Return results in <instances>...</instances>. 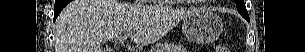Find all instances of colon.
I'll return each instance as SVG.
<instances>
[{
  "label": "colon",
  "instance_id": "1",
  "mask_svg": "<svg viewBox=\"0 0 305 52\" xmlns=\"http://www.w3.org/2000/svg\"><path fill=\"white\" fill-rule=\"evenodd\" d=\"M216 52H230L229 48L223 44L216 46Z\"/></svg>",
  "mask_w": 305,
  "mask_h": 52
}]
</instances>
